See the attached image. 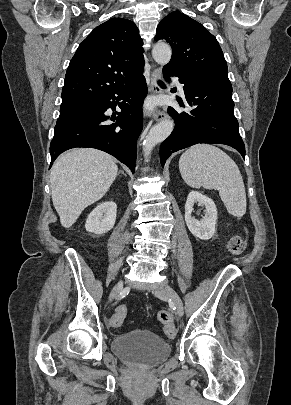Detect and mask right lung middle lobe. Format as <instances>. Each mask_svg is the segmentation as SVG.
<instances>
[{
    "instance_id": "dd1d6c3e",
    "label": "right lung middle lobe",
    "mask_w": 291,
    "mask_h": 405,
    "mask_svg": "<svg viewBox=\"0 0 291 405\" xmlns=\"http://www.w3.org/2000/svg\"><path fill=\"white\" fill-rule=\"evenodd\" d=\"M94 105V100L91 101H78V102H70L61 104L60 107V116L57 120V123L62 122L75 114L86 110L89 107Z\"/></svg>"
}]
</instances>
